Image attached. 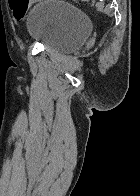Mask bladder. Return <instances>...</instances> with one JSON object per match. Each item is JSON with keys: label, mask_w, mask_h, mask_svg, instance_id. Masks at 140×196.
<instances>
[{"label": "bladder", "mask_w": 140, "mask_h": 196, "mask_svg": "<svg viewBox=\"0 0 140 196\" xmlns=\"http://www.w3.org/2000/svg\"><path fill=\"white\" fill-rule=\"evenodd\" d=\"M30 39L59 53L79 50L90 34V21L80 8L61 0L39 2L27 15Z\"/></svg>", "instance_id": "bladder-1"}]
</instances>
